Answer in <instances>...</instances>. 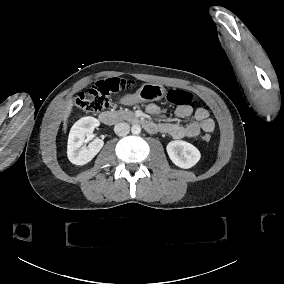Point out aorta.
<instances>
[{
	"label": "aorta",
	"mask_w": 284,
	"mask_h": 284,
	"mask_svg": "<svg viewBox=\"0 0 284 284\" xmlns=\"http://www.w3.org/2000/svg\"><path fill=\"white\" fill-rule=\"evenodd\" d=\"M131 132H132V134H134V135L140 134V132H141V126L138 125V124H134V125L132 126V128H131Z\"/></svg>",
	"instance_id": "762f6f07"
}]
</instances>
